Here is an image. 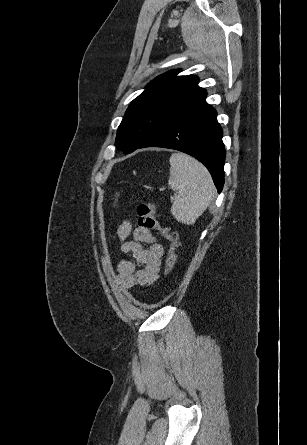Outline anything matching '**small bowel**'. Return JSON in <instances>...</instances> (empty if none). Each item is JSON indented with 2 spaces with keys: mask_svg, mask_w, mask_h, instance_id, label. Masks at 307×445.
<instances>
[{
  "mask_svg": "<svg viewBox=\"0 0 307 445\" xmlns=\"http://www.w3.org/2000/svg\"><path fill=\"white\" fill-rule=\"evenodd\" d=\"M137 215L139 216L138 210ZM131 233L133 239L128 240ZM118 237L120 252L128 256L117 263L119 283L126 289L136 285H151L159 277L163 245L150 230L139 226L133 230L128 219L119 226Z\"/></svg>",
  "mask_w": 307,
  "mask_h": 445,
  "instance_id": "obj_1",
  "label": "small bowel"
}]
</instances>
